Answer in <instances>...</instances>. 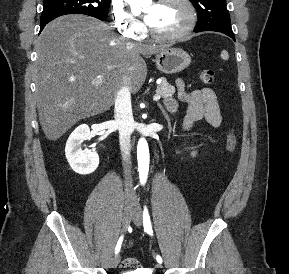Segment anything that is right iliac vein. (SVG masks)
Listing matches in <instances>:
<instances>
[{"mask_svg":"<svg viewBox=\"0 0 289 274\" xmlns=\"http://www.w3.org/2000/svg\"><path fill=\"white\" fill-rule=\"evenodd\" d=\"M133 216V207L130 203H126L123 211V216H122V225H123V230L125 231L132 219ZM120 261V255L116 254L115 257L110 262V268H116L118 263Z\"/></svg>","mask_w":289,"mask_h":274,"instance_id":"1","label":"right iliac vein"}]
</instances>
